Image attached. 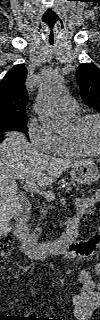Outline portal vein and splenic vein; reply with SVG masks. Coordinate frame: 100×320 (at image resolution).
<instances>
[{
	"label": "portal vein and splenic vein",
	"mask_w": 100,
	"mask_h": 320,
	"mask_svg": "<svg viewBox=\"0 0 100 320\" xmlns=\"http://www.w3.org/2000/svg\"><path fill=\"white\" fill-rule=\"evenodd\" d=\"M21 182H25L27 188L34 193L42 195L46 200L52 201L55 200V193L51 190H43L39 187L37 183H35L34 179H19Z\"/></svg>",
	"instance_id": "obj_1"
}]
</instances>
